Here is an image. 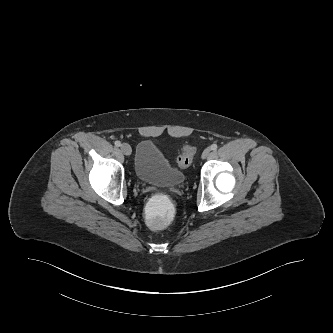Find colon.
Wrapping results in <instances>:
<instances>
[{"instance_id":"5ec220e1","label":"colon","mask_w":333,"mask_h":333,"mask_svg":"<svg viewBox=\"0 0 333 333\" xmlns=\"http://www.w3.org/2000/svg\"><path fill=\"white\" fill-rule=\"evenodd\" d=\"M194 156V149L191 146H185L182 154L177 159V164L181 168L188 167ZM175 216L171 200L164 194H157L147 202L144 210L145 223L152 230L163 231L171 224Z\"/></svg>"}]
</instances>
